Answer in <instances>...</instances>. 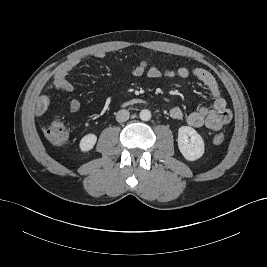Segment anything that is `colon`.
Segmentation results:
<instances>
[{
	"mask_svg": "<svg viewBox=\"0 0 267 267\" xmlns=\"http://www.w3.org/2000/svg\"><path fill=\"white\" fill-rule=\"evenodd\" d=\"M156 69H160L166 72L168 69L161 68L158 66H154ZM153 68H150V70ZM43 132L46 138L55 145H62L68 141L69 138V130L64 122L59 119L55 118L52 121L46 123L43 126ZM215 144H221L224 141V135L222 133H218L214 136L213 139Z\"/></svg>",
	"mask_w": 267,
	"mask_h": 267,
	"instance_id": "obj_1",
	"label": "colon"
}]
</instances>
